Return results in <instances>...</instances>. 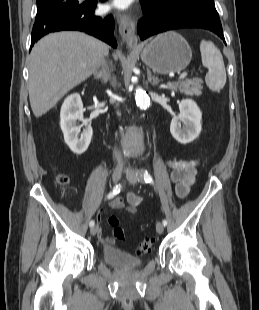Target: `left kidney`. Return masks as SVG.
Segmentation results:
<instances>
[{
  "instance_id": "obj_1",
  "label": "left kidney",
  "mask_w": 259,
  "mask_h": 310,
  "mask_svg": "<svg viewBox=\"0 0 259 310\" xmlns=\"http://www.w3.org/2000/svg\"><path fill=\"white\" fill-rule=\"evenodd\" d=\"M179 110L180 114L171 121L170 132L176 141L188 144L195 140L201 132L202 112L191 99L182 100L179 103ZM181 124H183L182 127Z\"/></svg>"
}]
</instances>
